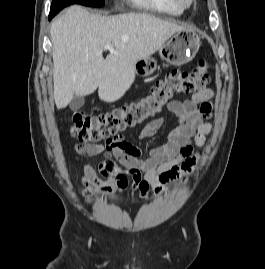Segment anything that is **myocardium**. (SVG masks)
I'll return each mask as SVG.
<instances>
[{
  "mask_svg": "<svg viewBox=\"0 0 265 269\" xmlns=\"http://www.w3.org/2000/svg\"><path fill=\"white\" fill-rule=\"evenodd\" d=\"M182 9L189 8L194 0H174Z\"/></svg>",
  "mask_w": 265,
  "mask_h": 269,
  "instance_id": "obj_1",
  "label": "myocardium"
}]
</instances>
